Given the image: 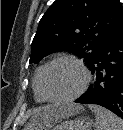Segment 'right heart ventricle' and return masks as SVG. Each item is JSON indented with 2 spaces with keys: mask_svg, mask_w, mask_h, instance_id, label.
<instances>
[{
  "mask_svg": "<svg viewBox=\"0 0 123 130\" xmlns=\"http://www.w3.org/2000/svg\"><path fill=\"white\" fill-rule=\"evenodd\" d=\"M43 67H44V64L40 65L35 70V73H34V76H33V81H32L34 96H35L36 101H38V102H45L46 101L43 98L42 94H41L40 84H39V82H40V75H41V71H42Z\"/></svg>",
  "mask_w": 123,
  "mask_h": 130,
  "instance_id": "right-heart-ventricle-1",
  "label": "right heart ventricle"
}]
</instances>
